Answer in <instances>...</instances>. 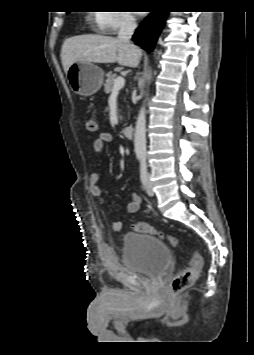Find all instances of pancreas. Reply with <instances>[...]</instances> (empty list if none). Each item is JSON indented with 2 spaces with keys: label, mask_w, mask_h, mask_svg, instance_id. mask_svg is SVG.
Instances as JSON below:
<instances>
[{
  "label": "pancreas",
  "mask_w": 254,
  "mask_h": 355,
  "mask_svg": "<svg viewBox=\"0 0 254 355\" xmlns=\"http://www.w3.org/2000/svg\"><path fill=\"white\" fill-rule=\"evenodd\" d=\"M106 76H107V79L104 83V91H105V93L109 94L112 91L114 81L118 76H117V74H113L111 72H109ZM120 119H122V117H120Z\"/></svg>",
  "instance_id": "pancreas-1"
}]
</instances>
